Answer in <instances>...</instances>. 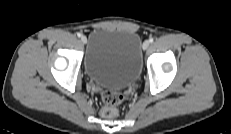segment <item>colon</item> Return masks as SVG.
<instances>
[{
    "mask_svg": "<svg viewBox=\"0 0 231 134\" xmlns=\"http://www.w3.org/2000/svg\"><path fill=\"white\" fill-rule=\"evenodd\" d=\"M123 101V95L115 91H106L101 95L100 113L107 118L115 117L119 112V106Z\"/></svg>",
    "mask_w": 231,
    "mask_h": 134,
    "instance_id": "obj_1",
    "label": "colon"
}]
</instances>
